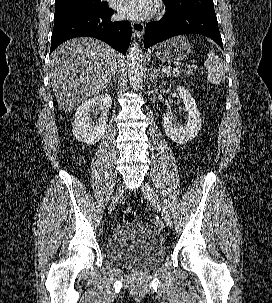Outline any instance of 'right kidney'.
I'll list each match as a JSON object with an SVG mask.
<instances>
[{"instance_id": "ca27d5eb", "label": "right kidney", "mask_w": 272, "mask_h": 303, "mask_svg": "<svg viewBox=\"0 0 272 303\" xmlns=\"http://www.w3.org/2000/svg\"><path fill=\"white\" fill-rule=\"evenodd\" d=\"M99 104L101 115L95 123L90 117L91 107ZM112 98L109 94H102L84 101L77 109L73 124V135L78 141L88 145L100 141L107 129V112L111 108Z\"/></svg>"}]
</instances>
